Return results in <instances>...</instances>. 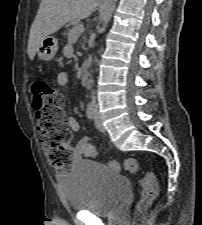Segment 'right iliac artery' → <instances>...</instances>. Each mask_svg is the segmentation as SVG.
I'll use <instances>...</instances> for the list:
<instances>
[{
	"mask_svg": "<svg viewBox=\"0 0 202 225\" xmlns=\"http://www.w3.org/2000/svg\"><path fill=\"white\" fill-rule=\"evenodd\" d=\"M86 116L92 120L95 118V110L93 103H89L86 109Z\"/></svg>",
	"mask_w": 202,
	"mask_h": 225,
	"instance_id": "right-iliac-artery-1",
	"label": "right iliac artery"
}]
</instances>
